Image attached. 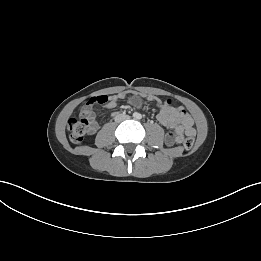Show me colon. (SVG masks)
Masks as SVG:
<instances>
[{"mask_svg": "<svg viewBox=\"0 0 261 261\" xmlns=\"http://www.w3.org/2000/svg\"><path fill=\"white\" fill-rule=\"evenodd\" d=\"M108 96L102 95L91 98L87 102L88 107H92L96 104H103L107 101ZM91 126L90 117L82 113L79 117H73L68 121V131L70 140L73 143H80L84 140L86 134L89 132ZM194 145L193 135H187L183 141V147L189 151Z\"/></svg>", "mask_w": 261, "mask_h": 261, "instance_id": "5ec220e1", "label": "colon"}]
</instances>
